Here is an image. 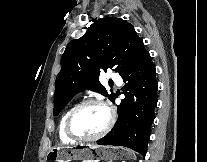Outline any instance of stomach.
Here are the masks:
<instances>
[{
	"instance_id": "0dacf381",
	"label": "stomach",
	"mask_w": 207,
	"mask_h": 162,
	"mask_svg": "<svg viewBox=\"0 0 207 162\" xmlns=\"http://www.w3.org/2000/svg\"><path fill=\"white\" fill-rule=\"evenodd\" d=\"M130 157L125 149H117L105 145L81 144L75 147L52 148L46 159L48 162H71L83 160V162H113Z\"/></svg>"
}]
</instances>
